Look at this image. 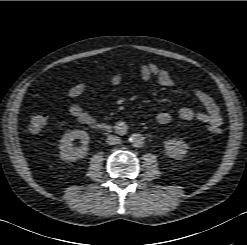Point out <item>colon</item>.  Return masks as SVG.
I'll return each instance as SVG.
<instances>
[{
	"label": "colon",
	"instance_id": "colon-1",
	"mask_svg": "<svg viewBox=\"0 0 247 245\" xmlns=\"http://www.w3.org/2000/svg\"><path fill=\"white\" fill-rule=\"evenodd\" d=\"M46 124V116L39 113H34L30 116L28 129L31 133L40 132ZM209 130L214 134L221 133V129L219 127H210Z\"/></svg>",
	"mask_w": 247,
	"mask_h": 245
}]
</instances>
